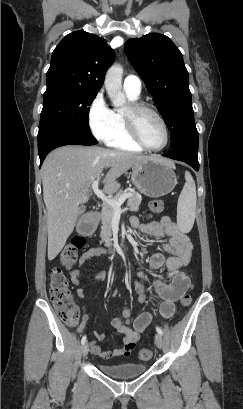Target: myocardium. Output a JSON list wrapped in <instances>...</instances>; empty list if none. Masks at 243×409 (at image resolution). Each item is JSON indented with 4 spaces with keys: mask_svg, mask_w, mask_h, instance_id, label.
Masks as SVG:
<instances>
[{
    "mask_svg": "<svg viewBox=\"0 0 243 409\" xmlns=\"http://www.w3.org/2000/svg\"><path fill=\"white\" fill-rule=\"evenodd\" d=\"M142 112L151 113L160 122L163 128V131H164V135H165V141L162 146L151 147L143 141L140 135L138 126H137V117ZM122 116H123V119L126 125L128 135L130 136L131 140L135 142L137 145H139L141 148L151 151V152H159L168 146L170 134H169L167 123L162 117V115L149 104L141 102V101H131L127 105L126 109L123 110Z\"/></svg>",
    "mask_w": 243,
    "mask_h": 409,
    "instance_id": "1",
    "label": "myocardium"
}]
</instances>
